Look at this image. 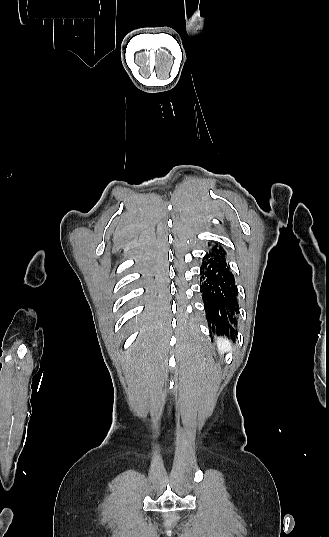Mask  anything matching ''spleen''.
I'll use <instances>...</instances> for the list:
<instances>
[{
	"mask_svg": "<svg viewBox=\"0 0 329 537\" xmlns=\"http://www.w3.org/2000/svg\"><path fill=\"white\" fill-rule=\"evenodd\" d=\"M217 347L220 351V353H224L225 351H231L232 346L230 341L224 339V338H218L217 339Z\"/></svg>",
	"mask_w": 329,
	"mask_h": 537,
	"instance_id": "spleen-1",
	"label": "spleen"
}]
</instances>
